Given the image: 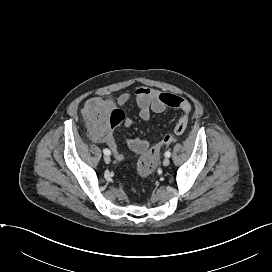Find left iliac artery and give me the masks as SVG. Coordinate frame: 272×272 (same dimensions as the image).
I'll use <instances>...</instances> for the list:
<instances>
[{
    "mask_svg": "<svg viewBox=\"0 0 272 272\" xmlns=\"http://www.w3.org/2000/svg\"><path fill=\"white\" fill-rule=\"evenodd\" d=\"M165 156H166V157H170V156H171V153H170L169 151H166V152H165Z\"/></svg>",
    "mask_w": 272,
    "mask_h": 272,
    "instance_id": "44dca946",
    "label": "left iliac artery"
}]
</instances>
